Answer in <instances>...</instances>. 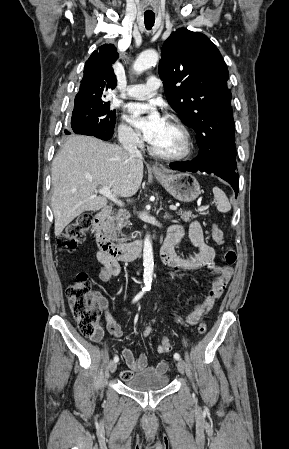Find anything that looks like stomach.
I'll list each match as a JSON object with an SVG mask.
<instances>
[{"label":"stomach","mask_w":289,"mask_h":449,"mask_svg":"<svg viewBox=\"0 0 289 449\" xmlns=\"http://www.w3.org/2000/svg\"><path fill=\"white\" fill-rule=\"evenodd\" d=\"M154 175L166 191L179 201L192 202L201 193L198 181L189 173Z\"/></svg>","instance_id":"stomach-1"}]
</instances>
